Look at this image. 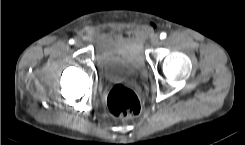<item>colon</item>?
Here are the masks:
<instances>
[{
  "label": "colon",
  "mask_w": 245,
  "mask_h": 145,
  "mask_svg": "<svg viewBox=\"0 0 245 145\" xmlns=\"http://www.w3.org/2000/svg\"><path fill=\"white\" fill-rule=\"evenodd\" d=\"M110 112L118 117L136 116L141 110V104L136 94L122 84L111 87L107 96Z\"/></svg>",
  "instance_id": "obj_1"
}]
</instances>
